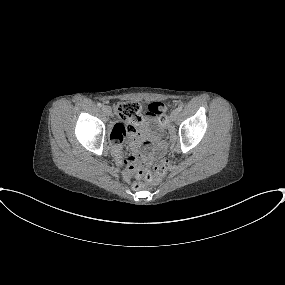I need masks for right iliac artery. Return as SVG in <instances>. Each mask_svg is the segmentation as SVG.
<instances>
[{"mask_svg": "<svg viewBox=\"0 0 285 285\" xmlns=\"http://www.w3.org/2000/svg\"><path fill=\"white\" fill-rule=\"evenodd\" d=\"M97 106L100 108V107H102V104L101 103H97Z\"/></svg>", "mask_w": 285, "mask_h": 285, "instance_id": "82829eb1", "label": "right iliac artery"}]
</instances>
